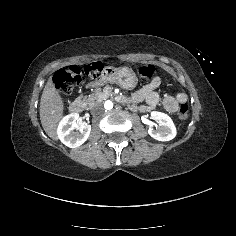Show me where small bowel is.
Listing matches in <instances>:
<instances>
[{
  "label": "small bowel",
  "instance_id": "obj_1",
  "mask_svg": "<svg viewBox=\"0 0 236 236\" xmlns=\"http://www.w3.org/2000/svg\"><path fill=\"white\" fill-rule=\"evenodd\" d=\"M161 81L160 78H153L150 83L145 85L142 89L138 90L132 97L131 100L134 103L146 101L149 106H156L160 101V95L156 91ZM187 96L184 93H177L174 95H166L163 100L165 109L168 112L174 113L178 110L179 104L186 102Z\"/></svg>",
  "mask_w": 236,
  "mask_h": 236
}]
</instances>
